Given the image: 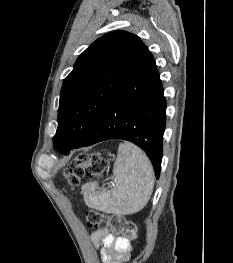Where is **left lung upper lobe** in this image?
<instances>
[{
  "instance_id": "1",
  "label": "left lung upper lobe",
  "mask_w": 233,
  "mask_h": 263,
  "mask_svg": "<svg viewBox=\"0 0 233 263\" xmlns=\"http://www.w3.org/2000/svg\"><path fill=\"white\" fill-rule=\"evenodd\" d=\"M147 52L138 36L124 31L110 32L87 48L64 79L54 138L84 142Z\"/></svg>"
}]
</instances>
